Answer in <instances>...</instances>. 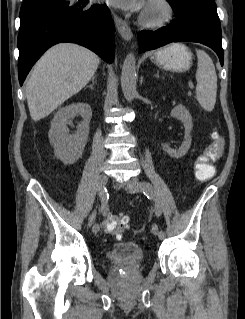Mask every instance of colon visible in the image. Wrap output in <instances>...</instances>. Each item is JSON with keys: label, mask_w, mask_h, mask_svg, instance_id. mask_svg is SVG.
Here are the masks:
<instances>
[{"label": "colon", "mask_w": 245, "mask_h": 319, "mask_svg": "<svg viewBox=\"0 0 245 319\" xmlns=\"http://www.w3.org/2000/svg\"><path fill=\"white\" fill-rule=\"evenodd\" d=\"M224 149V142L218 131L214 130L211 142L205 152L201 154L196 162L194 172L198 180L207 181L215 174L214 163L218 161ZM128 223L126 214L109 216L105 222V230L113 235L120 236Z\"/></svg>", "instance_id": "5ec220e1"}]
</instances>
